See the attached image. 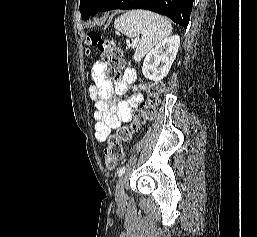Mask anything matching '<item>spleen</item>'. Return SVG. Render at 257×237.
Here are the masks:
<instances>
[{"label":"spleen","instance_id":"1","mask_svg":"<svg viewBox=\"0 0 257 237\" xmlns=\"http://www.w3.org/2000/svg\"><path fill=\"white\" fill-rule=\"evenodd\" d=\"M114 28L129 38L141 35L134 60L140 62L151 49L164 41L172 32L171 23L164 17L144 10L129 11L114 22Z\"/></svg>","mask_w":257,"mask_h":237}]
</instances>
